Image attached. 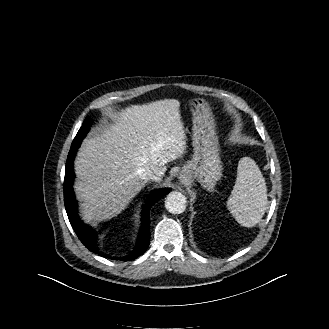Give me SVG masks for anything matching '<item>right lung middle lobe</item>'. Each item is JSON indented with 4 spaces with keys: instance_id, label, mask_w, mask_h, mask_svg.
Listing matches in <instances>:
<instances>
[{
    "instance_id": "1",
    "label": "right lung middle lobe",
    "mask_w": 329,
    "mask_h": 329,
    "mask_svg": "<svg viewBox=\"0 0 329 329\" xmlns=\"http://www.w3.org/2000/svg\"><path fill=\"white\" fill-rule=\"evenodd\" d=\"M91 126V120L89 117H87L81 126L80 130L78 131L77 135L75 136L69 153L73 152L75 149H77L82 141V139L86 136Z\"/></svg>"
}]
</instances>
